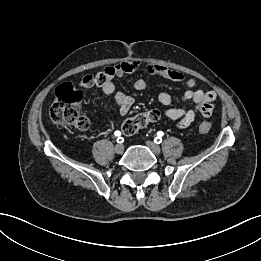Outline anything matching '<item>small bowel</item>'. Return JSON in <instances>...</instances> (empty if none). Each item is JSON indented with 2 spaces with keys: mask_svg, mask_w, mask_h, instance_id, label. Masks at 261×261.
I'll use <instances>...</instances> for the list:
<instances>
[{
  "mask_svg": "<svg viewBox=\"0 0 261 261\" xmlns=\"http://www.w3.org/2000/svg\"><path fill=\"white\" fill-rule=\"evenodd\" d=\"M141 67L142 63L139 60H126L116 65L107 67L102 73H100L104 76V81L101 84L96 83L97 75H87L81 79L80 85L85 88L99 86L105 95H114V100L118 107L119 114L124 116L133 106L134 99L130 95L116 91L114 79L134 73ZM146 71L149 79L154 77H164L173 81H183L185 83L186 90L182 95V100L184 102H193L195 104L194 109L171 107L172 97L166 92H160L157 96L159 103L168 107L164 111L165 116L171 120L177 121L176 126L178 129H185L189 127L195 120L197 113H200L203 117H209L212 114L214 102L216 100L215 92H205L201 89H196V82L194 79L185 78L182 73L168 69L161 65L149 64L146 66ZM133 87L137 91L146 90L148 87V79L139 78L135 80Z\"/></svg>",
  "mask_w": 261,
  "mask_h": 261,
  "instance_id": "c3829d8e",
  "label": "small bowel"
}]
</instances>
